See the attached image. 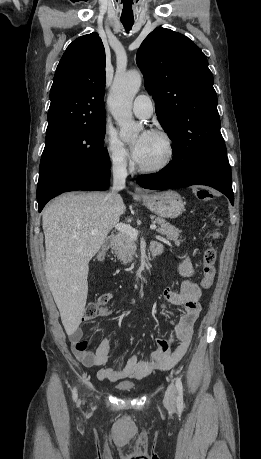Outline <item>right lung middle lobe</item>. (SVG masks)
Listing matches in <instances>:
<instances>
[{
  "mask_svg": "<svg viewBox=\"0 0 261 459\" xmlns=\"http://www.w3.org/2000/svg\"><path fill=\"white\" fill-rule=\"evenodd\" d=\"M106 120L46 133L40 162L37 192L55 178L79 169H109L110 158L103 146Z\"/></svg>",
  "mask_w": 261,
  "mask_h": 459,
  "instance_id": "obj_1",
  "label": "right lung middle lobe"
}]
</instances>
